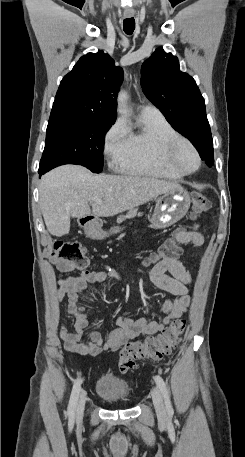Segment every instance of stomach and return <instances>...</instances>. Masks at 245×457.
<instances>
[{
    "label": "stomach",
    "mask_w": 245,
    "mask_h": 457,
    "mask_svg": "<svg viewBox=\"0 0 245 457\" xmlns=\"http://www.w3.org/2000/svg\"><path fill=\"white\" fill-rule=\"evenodd\" d=\"M190 196L185 188H174L163 192L157 198L156 206L154 208L153 216L151 218L152 229H166V226H171L182 216H185L190 206ZM80 226L90 239H104L108 233L102 231V224L95 218V220H86L85 216H81L78 220ZM110 233H119V226H114Z\"/></svg>",
    "instance_id": "stomach-1"
}]
</instances>
